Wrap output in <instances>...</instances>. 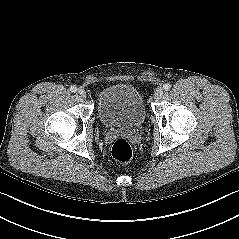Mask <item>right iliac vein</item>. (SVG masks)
<instances>
[{
  "label": "right iliac vein",
  "instance_id": "1",
  "mask_svg": "<svg viewBox=\"0 0 239 239\" xmlns=\"http://www.w3.org/2000/svg\"><path fill=\"white\" fill-rule=\"evenodd\" d=\"M78 94L80 97L85 98L86 97V91L83 88L78 89Z\"/></svg>",
  "mask_w": 239,
  "mask_h": 239
}]
</instances>
